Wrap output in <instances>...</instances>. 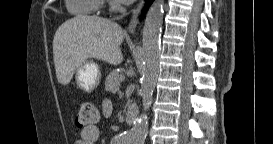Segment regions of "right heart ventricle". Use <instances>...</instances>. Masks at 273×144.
<instances>
[{"mask_svg":"<svg viewBox=\"0 0 273 144\" xmlns=\"http://www.w3.org/2000/svg\"><path fill=\"white\" fill-rule=\"evenodd\" d=\"M100 0H66V9L73 16H87L96 13Z\"/></svg>","mask_w":273,"mask_h":144,"instance_id":"1","label":"right heart ventricle"}]
</instances>
